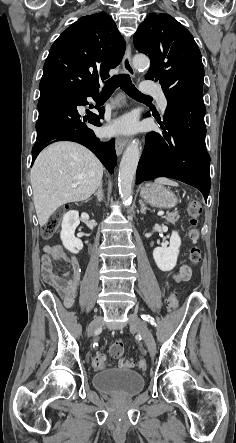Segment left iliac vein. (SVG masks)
Returning <instances> with one entry per match:
<instances>
[{
    "label": "left iliac vein",
    "mask_w": 236,
    "mask_h": 443,
    "mask_svg": "<svg viewBox=\"0 0 236 443\" xmlns=\"http://www.w3.org/2000/svg\"><path fill=\"white\" fill-rule=\"evenodd\" d=\"M130 327L135 329L139 334L142 335L144 342L148 348L151 357L156 354V343L154 337L150 330L145 326L143 321L135 314L129 315Z\"/></svg>",
    "instance_id": "1"
}]
</instances>
